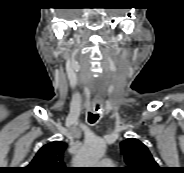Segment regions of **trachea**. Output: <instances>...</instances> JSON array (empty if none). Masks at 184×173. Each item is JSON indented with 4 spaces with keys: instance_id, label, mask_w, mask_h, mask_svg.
<instances>
[{
    "instance_id": "obj_1",
    "label": "trachea",
    "mask_w": 184,
    "mask_h": 173,
    "mask_svg": "<svg viewBox=\"0 0 184 173\" xmlns=\"http://www.w3.org/2000/svg\"><path fill=\"white\" fill-rule=\"evenodd\" d=\"M99 116L96 114L89 113L88 122L94 124L98 120Z\"/></svg>"
}]
</instances>
